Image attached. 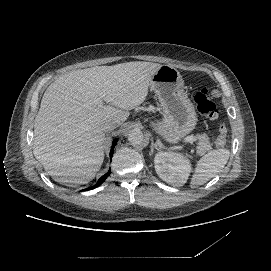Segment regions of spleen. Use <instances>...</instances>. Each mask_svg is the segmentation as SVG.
Returning <instances> with one entry per match:
<instances>
[{
  "label": "spleen",
  "instance_id": "obj_1",
  "mask_svg": "<svg viewBox=\"0 0 271 271\" xmlns=\"http://www.w3.org/2000/svg\"><path fill=\"white\" fill-rule=\"evenodd\" d=\"M229 157L230 150L227 148L213 149L201 156L194 165L189 186L193 188L208 182L226 166ZM178 158L181 159V157Z\"/></svg>",
  "mask_w": 271,
  "mask_h": 271
}]
</instances>
